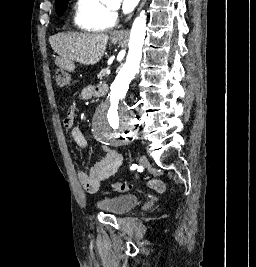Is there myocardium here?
<instances>
[{"label":"myocardium","instance_id":"obj_1","mask_svg":"<svg viewBox=\"0 0 256 267\" xmlns=\"http://www.w3.org/2000/svg\"><path fill=\"white\" fill-rule=\"evenodd\" d=\"M115 8H116V4L112 0H109V10L110 11L108 12L105 20L102 23L107 22V21H112L113 22V17H114L113 11L115 10ZM101 31H103V30H101ZM104 32H106V31H104Z\"/></svg>","mask_w":256,"mask_h":267}]
</instances>
